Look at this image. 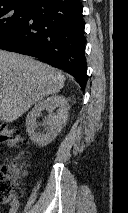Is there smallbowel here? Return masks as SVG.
<instances>
[{
	"label": "small bowel",
	"instance_id": "1",
	"mask_svg": "<svg viewBox=\"0 0 128 213\" xmlns=\"http://www.w3.org/2000/svg\"><path fill=\"white\" fill-rule=\"evenodd\" d=\"M20 203L14 199L9 202L7 213H17L19 210Z\"/></svg>",
	"mask_w": 128,
	"mask_h": 213
}]
</instances>
